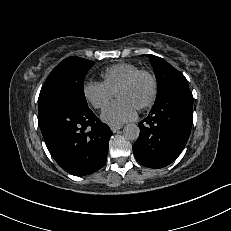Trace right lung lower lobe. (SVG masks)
<instances>
[{
	"label": "right lung lower lobe",
	"mask_w": 231,
	"mask_h": 231,
	"mask_svg": "<svg viewBox=\"0 0 231 231\" xmlns=\"http://www.w3.org/2000/svg\"><path fill=\"white\" fill-rule=\"evenodd\" d=\"M38 121L52 157L68 173L85 176L105 165L113 132L88 105L57 103L40 112Z\"/></svg>",
	"instance_id": "right-lung-lower-lobe-1"
}]
</instances>
